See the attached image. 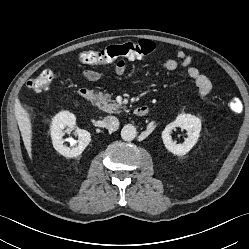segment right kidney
I'll return each mask as SVG.
<instances>
[{
	"instance_id": "ca27d5eb",
	"label": "right kidney",
	"mask_w": 249,
	"mask_h": 249,
	"mask_svg": "<svg viewBox=\"0 0 249 249\" xmlns=\"http://www.w3.org/2000/svg\"><path fill=\"white\" fill-rule=\"evenodd\" d=\"M76 117L74 114L63 111L58 113L52 120L51 124V137L53 147L57 152L65 157H77L88 146L91 141L90 133L83 129H75ZM74 134L78 136V145L70 148L65 146L63 136L67 133L70 134L74 130Z\"/></svg>"
}]
</instances>
